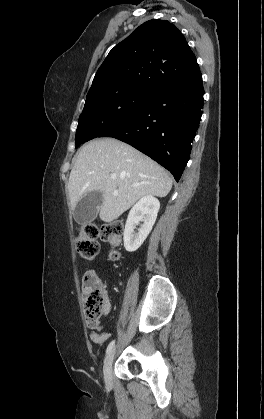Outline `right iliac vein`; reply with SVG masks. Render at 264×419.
<instances>
[{"instance_id":"1","label":"right iliac vein","mask_w":264,"mask_h":419,"mask_svg":"<svg viewBox=\"0 0 264 419\" xmlns=\"http://www.w3.org/2000/svg\"><path fill=\"white\" fill-rule=\"evenodd\" d=\"M115 349H112L104 360V378L107 384L112 383V364L114 361Z\"/></svg>"}]
</instances>
